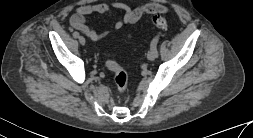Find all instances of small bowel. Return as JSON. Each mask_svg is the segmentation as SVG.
Returning <instances> with one entry per match:
<instances>
[{
  "mask_svg": "<svg viewBox=\"0 0 253 138\" xmlns=\"http://www.w3.org/2000/svg\"><path fill=\"white\" fill-rule=\"evenodd\" d=\"M112 9H118L124 12L123 18L114 24V30H119L124 25L135 24L145 15L166 14L169 12L167 6L158 3H143L134 7H130L123 2H113L110 5L104 3L88 4L80 6L75 10L70 18V25L86 35L89 39L93 41L100 40L106 37L109 32H98L95 29L88 27L86 24V17L92 14L109 16Z\"/></svg>",
  "mask_w": 253,
  "mask_h": 138,
  "instance_id": "c3829d8e",
  "label": "small bowel"
}]
</instances>
